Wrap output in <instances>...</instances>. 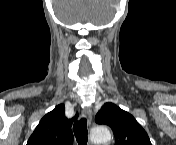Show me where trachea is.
I'll list each match as a JSON object with an SVG mask.
<instances>
[{"mask_svg":"<svg viewBox=\"0 0 176 145\" xmlns=\"http://www.w3.org/2000/svg\"><path fill=\"white\" fill-rule=\"evenodd\" d=\"M73 131L75 133L76 140L79 145H86L88 140L87 131V120L86 118H81L79 121L74 123Z\"/></svg>","mask_w":176,"mask_h":145,"instance_id":"3493384b","label":"trachea"}]
</instances>
